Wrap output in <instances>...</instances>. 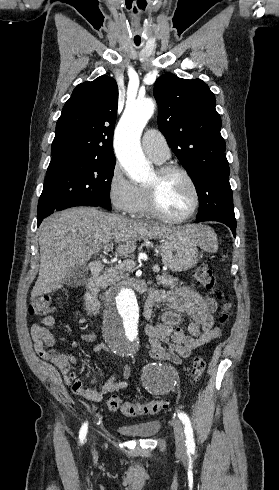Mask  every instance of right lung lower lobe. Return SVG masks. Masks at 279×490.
Segmentation results:
<instances>
[{"label": "right lung lower lobe", "instance_id": "1", "mask_svg": "<svg viewBox=\"0 0 279 490\" xmlns=\"http://www.w3.org/2000/svg\"><path fill=\"white\" fill-rule=\"evenodd\" d=\"M75 206H95V207H100L98 206L97 204L93 203V202H90V201H74V202H70V203H65L61 206H59L58 208H56L55 210H53L50 214H52L54 211H60V210H63V209H66V208H70V207H75ZM50 214L44 216V217H37V226L40 225V223L42 222V220L49 216Z\"/></svg>", "mask_w": 279, "mask_h": 490}]
</instances>
